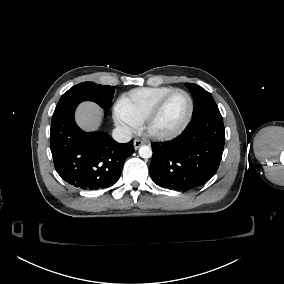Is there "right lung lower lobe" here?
Returning <instances> with one entry per match:
<instances>
[{"label": "right lung lower lobe", "mask_w": 284, "mask_h": 284, "mask_svg": "<svg viewBox=\"0 0 284 284\" xmlns=\"http://www.w3.org/2000/svg\"><path fill=\"white\" fill-rule=\"evenodd\" d=\"M78 104L54 111L50 146L55 169L63 180L83 190H98L114 185L133 141L116 142L105 132H84L75 120Z\"/></svg>", "instance_id": "1"}]
</instances>
